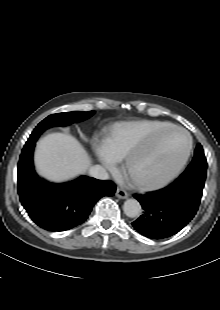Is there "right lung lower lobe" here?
I'll list each match as a JSON object with an SVG mask.
<instances>
[{
    "mask_svg": "<svg viewBox=\"0 0 220 310\" xmlns=\"http://www.w3.org/2000/svg\"><path fill=\"white\" fill-rule=\"evenodd\" d=\"M37 140V139H36ZM35 139L26 142L18 163V193L30 218L48 231H66L82 224L94 204L116 191L113 182L82 176L52 184L37 176L33 166Z\"/></svg>",
    "mask_w": 220,
    "mask_h": 310,
    "instance_id": "obj_1",
    "label": "right lung lower lobe"
}]
</instances>
